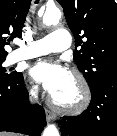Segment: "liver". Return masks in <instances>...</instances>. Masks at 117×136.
<instances>
[{
    "label": "liver",
    "instance_id": "liver-1",
    "mask_svg": "<svg viewBox=\"0 0 117 136\" xmlns=\"http://www.w3.org/2000/svg\"><path fill=\"white\" fill-rule=\"evenodd\" d=\"M0 136H14V135L8 134V133H1V132H0Z\"/></svg>",
    "mask_w": 117,
    "mask_h": 136
}]
</instances>
